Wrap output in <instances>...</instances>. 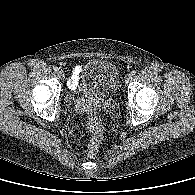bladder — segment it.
I'll return each mask as SVG.
<instances>
[{
  "label": "bladder",
  "mask_w": 195,
  "mask_h": 195,
  "mask_svg": "<svg viewBox=\"0 0 195 195\" xmlns=\"http://www.w3.org/2000/svg\"><path fill=\"white\" fill-rule=\"evenodd\" d=\"M120 74L114 63L106 59H92L82 70L78 92L87 98H110L119 88Z\"/></svg>",
  "instance_id": "obj_1"
}]
</instances>
